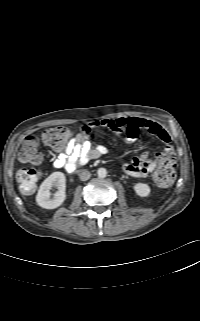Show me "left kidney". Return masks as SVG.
Masks as SVG:
<instances>
[{
	"instance_id": "obj_1",
	"label": "left kidney",
	"mask_w": 200,
	"mask_h": 321,
	"mask_svg": "<svg viewBox=\"0 0 200 321\" xmlns=\"http://www.w3.org/2000/svg\"><path fill=\"white\" fill-rule=\"evenodd\" d=\"M134 190L140 197H147L150 194V187L145 183L135 184Z\"/></svg>"
}]
</instances>
